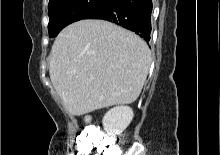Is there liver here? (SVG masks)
Wrapping results in <instances>:
<instances>
[{
	"label": "liver",
	"mask_w": 220,
	"mask_h": 155,
	"mask_svg": "<svg viewBox=\"0 0 220 155\" xmlns=\"http://www.w3.org/2000/svg\"><path fill=\"white\" fill-rule=\"evenodd\" d=\"M150 64V50L136 34L104 20H81L56 37L49 74L65 109L80 116L134 102Z\"/></svg>",
	"instance_id": "1"
}]
</instances>
